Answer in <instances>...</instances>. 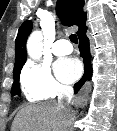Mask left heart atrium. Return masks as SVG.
Masks as SVG:
<instances>
[{
    "mask_svg": "<svg viewBox=\"0 0 117 131\" xmlns=\"http://www.w3.org/2000/svg\"><path fill=\"white\" fill-rule=\"evenodd\" d=\"M54 69L57 77L65 83L74 82L82 73V65L80 61L73 57L57 60Z\"/></svg>",
    "mask_w": 117,
    "mask_h": 131,
    "instance_id": "1",
    "label": "left heart atrium"
}]
</instances>
